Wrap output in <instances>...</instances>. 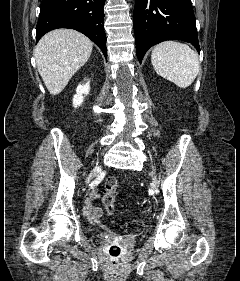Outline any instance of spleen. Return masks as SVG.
<instances>
[{
    "instance_id": "3e777b00",
    "label": "spleen",
    "mask_w": 240,
    "mask_h": 281,
    "mask_svg": "<svg viewBox=\"0 0 240 281\" xmlns=\"http://www.w3.org/2000/svg\"><path fill=\"white\" fill-rule=\"evenodd\" d=\"M151 63L158 75L183 89L193 83L200 68L196 51L174 41L156 45L151 53Z\"/></svg>"
}]
</instances>
